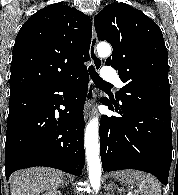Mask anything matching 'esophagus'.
<instances>
[{"label":"esophagus","instance_id":"34e87169","mask_svg":"<svg viewBox=\"0 0 178 195\" xmlns=\"http://www.w3.org/2000/svg\"><path fill=\"white\" fill-rule=\"evenodd\" d=\"M92 25H93V30H92V39L90 43L89 54L95 69L99 70L100 67L102 66V60L96 53V45L98 43V38L94 28L93 17H92ZM94 102H95V92L93 90H89L87 94L85 106H84L85 120H88L90 118Z\"/></svg>","mask_w":178,"mask_h":195}]
</instances>
